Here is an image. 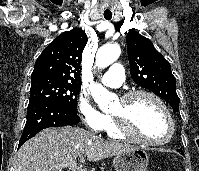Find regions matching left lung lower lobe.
<instances>
[{"label": "left lung lower lobe", "mask_w": 199, "mask_h": 171, "mask_svg": "<svg viewBox=\"0 0 199 171\" xmlns=\"http://www.w3.org/2000/svg\"><path fill=\"white\" fill-rule=\"evenodd\" d=\"M179 151H181V153L183 154L182 150L180 149Z\"/></svg>", "instance_id": "0a47b994"}]
</instances>
